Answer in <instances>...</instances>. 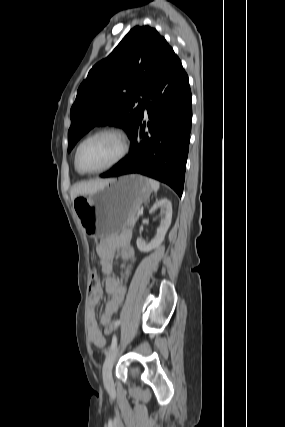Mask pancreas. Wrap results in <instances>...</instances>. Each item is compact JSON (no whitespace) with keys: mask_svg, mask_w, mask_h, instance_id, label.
Segmentation results:
<instances>
[{"mask_svg":"<svg viewBox=\"0 0 285 427\" xmlns=\"http://www.w3.org/2000/svg\"><path fill=\"white\" fill-rule=\"evenodd\" d=\"M138 219L137 212H134L129 218V226L135 224Z\"/></svg>","mask_w":285,"mask_h":427,"instance_id":"cf45deb5","label":"pancreas"}]
</instances>
